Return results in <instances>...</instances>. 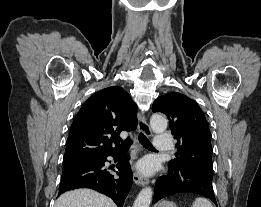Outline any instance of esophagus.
Listing matches in <instances>:
<instances>
[{"mask_svg":"<svg viewBox=\"0 0 261 207\" xmlns=\"http://www.w3.org/2000/svg\"><path fill=\"white\" fill-rule=\"evenodd\" d=\"M138 129L140 132L144 133L146 136L151 137L152 131L150 129V126L147 122L146 116L143 113H138ZM134 182L137 185L145 186L149 183V180L142 175H140L138 172H134L133 174Z\"/></svg>","mask_w":261,"mask_h":207,"instance_id":"obj_1","label":"esophagus"}]
</instances>
